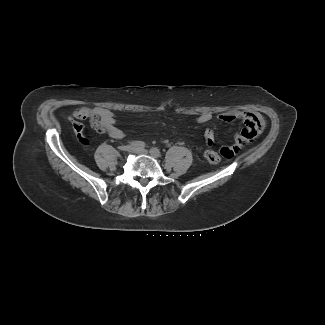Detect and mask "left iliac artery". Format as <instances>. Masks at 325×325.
<instances>
[{"instance_id":"44dca946","label":"left iliac artery","mask_w":325,"mask_h":325,"mask_svg":"<svg viewBox=\"0 0 325 325\" xmlns=\"http://www.w3.org/2000/svg\"><path fill=\"white\" fill-rule=\"evenodd\" d=\"M150 152L160 154L159 149H157L156 147L151 148Z\"/></svg>"}]
</instances>
